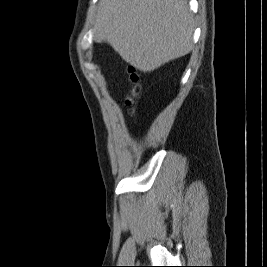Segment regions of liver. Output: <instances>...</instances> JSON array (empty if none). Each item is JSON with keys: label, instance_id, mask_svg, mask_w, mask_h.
<instances>
[{"label": "liver", "instance_id": "6515ba94", "mask_svg": "<svg viewBox=\"0 0 267 267\" xmlns=\"http://www.w3.org/2000/svg\"><path fill=\"white\" fill-rule=\"evenodd\" d=\"M193 31L187 0H101L94 39L145 73L188 54Z\"/></svg>", "mask_w": 267, "mask_h": 267}]
</instances>
